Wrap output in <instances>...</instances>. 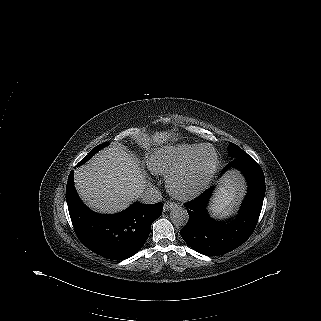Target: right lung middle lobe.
Returning <instances> with one entry per match:
<instances>
[{
    "mask_svg": "<svg viewBox=\"0 0 321 321\" xmlns=\"http://www.w3.org/2000/svg\"><path fill=\"white\" fill-rule=\"evenodd\" d=\"M108 144H109V143H103V144L98 145V146H96L95 148H93V149L88 153V155H87L85 158H83V159L78 163L77 166L82 165L83 163H85V162H86L87 160H89L96 152H98L101 148L107 146Z\"/></svg>",
    "mask_w": 321,
    "mask_h": 321,
    "instance_id": "dd1d6c3e",
    "label": "right lung middle lobe"
}]
</instances>
